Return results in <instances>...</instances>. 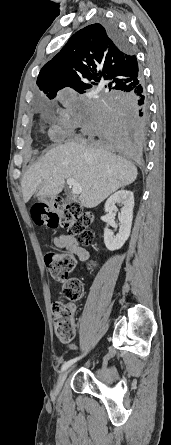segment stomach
I'll return each mask as SVG.
<instances>
[{"instance_id": "0dacf381", "label": "stomach", "mask_w": 171, "mask_h": 445, "mask_svg": "<svg viewBox=\"0 0 171 445\" xmlns=\"http://www.w3.org/2000/svg\"><path fill=\"white\" fill-rule=\"evenodd\" d=\"M45 202H47L49 205H53L54 203V197H41Z\"/></svg>"}]
</instances>
